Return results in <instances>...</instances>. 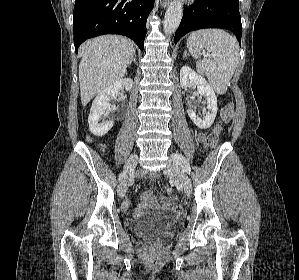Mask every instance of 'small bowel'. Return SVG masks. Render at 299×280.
Masks as SVG:
<instances>
[{"label": "small bowel", "mask_w": 299, "mask_h": 280, "mask_svg": "<svg viewBox=\"0 0 299 280\" xmlns=\"http://www.w3.org/2000/svg\"><path fill=\"white\" fill-rule=\"evenodd\" d=\"M205 137L203 134L199 135V140L204 141ZM157 173H152L151 178L155 179L157 178ZM142 203L141 205L136 209V215L141 214V212L144 209H154V208H166L169 205L173 204L175 202V197H170L168 199H162L161 201H158L155 195L151 190H147L142 193ZM130 202L125 201L123 203V209L126 210L129 207Z\"/></svg>", "instance_id": "c3829d8e"}]
</instances>
